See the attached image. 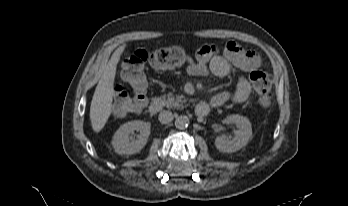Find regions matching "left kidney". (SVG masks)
I'll list each match as a JSON object with an SVG mask.
<instances>
[{"mask_svg":"<svg viewBox=\"0 0 348 206\" xmlns=\"http://www.w3.org/2000/svg\"><path fill=\"white\" fill-rule=\"evenodd\" d=\"M227 123L235 124L238 128L233 138L218 136L215 139L216 148L224 153H233L246 146L252 138V127L248 118L241 115H229L225 119Z\"/></svg>","mask_w":348,"mask_h":206,"instance_id":"obj_1","label":"left kidney"}]
</instances>
